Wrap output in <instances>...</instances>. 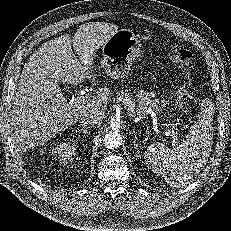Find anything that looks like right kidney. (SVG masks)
Instances as JSON below:
<instances>
[{
	"instance_id": "ca27d5eb",
	"label": "right kidney",
	"mask_w": 231,
	"mask_h": 231,
	"mask_svg": "<svg viewBox=\"0 0 231 231\" xmlns=\"http://www.w3.org/2000/svg\"><path fill=\"white\" fill-rule=\"evenodd\" d=\"M75 145L71 142H60L55 147H53L52 151L54 155L62 158V160L66 161L71 158L75 152Z\"/></svg>"
}]
</instances>
